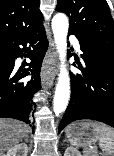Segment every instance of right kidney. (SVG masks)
<instances>
[{"label": "right kidney", "instance_id": "1", "mask_svg": "<svg viewBox=\"0 0 114 156\" xmlns=\"http://www.w3.org/2000/svg\"><path fill=\"white\" fill-rule=\"evenodd\" d=\"M28 146L25 143H20L11 147L3 156H27Z\"/></svg>", "mask_w": 114, "mask_h": 156}]
</instances>
